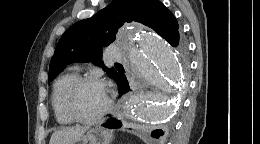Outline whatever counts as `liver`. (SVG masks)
I'll use <instances>...</instances> for the list:
<instances>
[{"mask_svg": "<svg viewBox=\"0 0 260 144\" xmlns=\"http://www.w3.org/2000/svg\"><path fill=\"white\" fill-rule=\"evenodd\" d=\"M87 129V127L81 126L64 127L52 134L49 144H71L75 139L84 135Z\"/></svg>", "mask_w": 260, "mask_h": 144, "instance_id": "1", "label": "liver"}]
</instances>
